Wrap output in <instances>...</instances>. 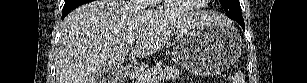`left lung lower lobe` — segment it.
Wrapping results in <instances>:
<instances>
[{"mask_svg": "<svg viewBox=\"0 0 307 83\" xmlns=\"http://www.w3.org/2000/svg\"><path fill=\"white\" fill-rule=\"evenodd\" d=\"M241 26H242V28L244 29V22H238Z\"/></svg>", "mask_w": 307, "mask_h": 83, "instance_id": "left-lung-lower-lobe-1", "label": "left lung lower lobe"}]
</instances>
